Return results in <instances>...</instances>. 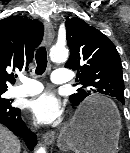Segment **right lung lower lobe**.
I'll return each instance as SVG.
<instances>
[{"label": "right lung lower lobe", "instance_id": "98d812e1", "mask_svg": "<svg viewBox=\"0 0 130 153\" xmlns=\"http://www.w3.org/2000/svg\"><path fill=\"white\" fill-rule=\"evenodd\" d=\"M0 123L5 125L14 134L26 139V145L29 150H33L37 143V137L28 130L21 118V111L11 106V103H0Z\"/></svg>", "mask_w": 130, "mask_h": 153}]
</instances>
